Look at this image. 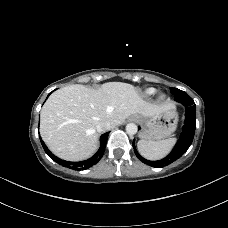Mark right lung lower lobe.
<instances>
[{"mask_svg":"<svg viewBox=\"0 0 228 228\" xmlns=\"http://www.w3.org/2000/svg\"><path fill=\"white\" fill-rule=\"evenodd\" d=\"M107 139H108V133H104L101 137H100V148L97 151V153L91 157L88 160L85 161H81V162H69V161H64L58 157H56L54 154H52L50 152V150L47 148V146L45 145V143L41 140L42 146L45 150V152L49 155V157L54 160L55 162H57L58 164L71 168L73 170H84V169H88L90 167H92L94 164H96L97 162H99V160L102 158L104 151H105V147L107 144Z\"/></svg>","mask_w":228,"mask_h":228,"instance_id":"98d812e1","label":"right lung lower lobe"}]
</instances>
